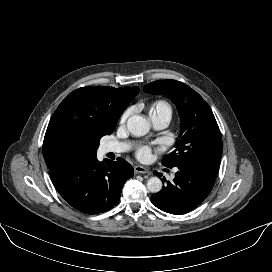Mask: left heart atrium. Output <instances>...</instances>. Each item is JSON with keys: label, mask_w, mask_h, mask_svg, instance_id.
Wrapping results in <instances>:
<instances>
[{"label": "left heart atrium", "mask_w": 272, "mask_h": 272, "mask_svg": "<svg viewBox=\"0 0 272 272\" xmlns=\"http://www.w3.org/2000/svg\"><path fill=\"white\" fill-rule=\"evenodd\" d=\"M151 148L148 146H142L137 149L136 156L139 160L146 161L151 157Z\"/></svg>", "instance_id": "39dd6f15"}]
</instances>
